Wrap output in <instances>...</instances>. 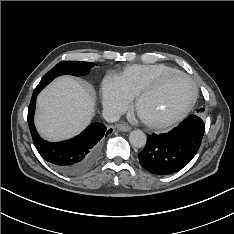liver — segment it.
Listing matches in <instances>:
<instances>
[{"instance_id": "liver-1", "label": "liver", "mask_w": 234, "mask_h": 234, "mask_svg": "<svg viewBox=\"0 0 234 234\" xmlns=\"http://www.w3.org/2000/svg\"><path fill=\"white\" fill-rule=\"evenodd\" d=\"M94 105L90 89L72 77H59L37 98L36 128L49 141L70 138L90 123Z\"/></svg>"}]
</instances>
